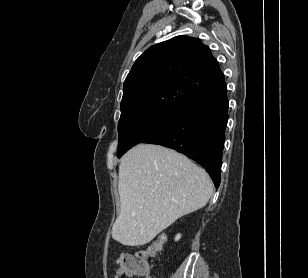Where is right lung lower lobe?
Instances as JSON below:
<instances>
[{
    "label": "right lung lower lobe",
    "mask_w": 308,
    "mask_h": 278,
    "mask_svg": "<svg viewBox=\"0 0 308 278\" xmlns=\"http://www.w3.org/2000/svg\"><path fill=\"white\" fill-rule=\"evenodd\" d=\"M228 121L226 84L178 109L162 129L141 143L159 144L196 161L219 187L222 150Z\"/></svg>",
    "instance_id": "right-lung-lower-lobe-1"
}]
</instances>
